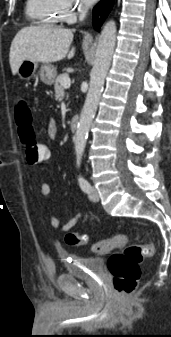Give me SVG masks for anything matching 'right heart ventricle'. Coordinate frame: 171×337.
<instances>
[{
  "instance_id": "right-heart-ventricle-1",
  "label": "right heart ventricle",
  "mask_w": 171,
  "mask_h": 337,
  "mask_svg": "<svg viewBox=\"0 0 171 337\" xmlns=\"http://www.w3.org/2000/svg\"><path fill=\"white\" fill-rule=\"evenodd\" d=\"M27 15L37 23L51 25L60 21L54 0H27Z\"/></svg>"
}]
</instances>
